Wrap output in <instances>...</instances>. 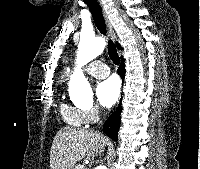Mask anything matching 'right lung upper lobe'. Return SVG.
I'll return each instance as SVG.
<instances>
[{"label":"right lung upper lobe","instance_id":"right-lung-upper-lobe-1","mask_svg":"<svg viewBox=\"0 0 200 169\" xmlns=\"http://www.w3.org/2000/svg\"><path fill=\"white\" fill-rule=\"evenodd\" d=\"M117 46L119 47V49H121V47H120V45H119V44H117Z\"/></svg>","mask_w":200,"mask_h":169}]
</instances>
